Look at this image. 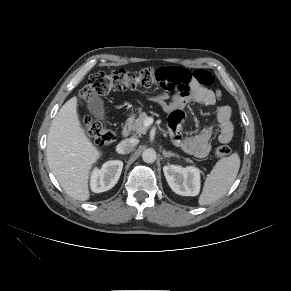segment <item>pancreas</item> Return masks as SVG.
Returning a JSON list of instances; mask_svg holds the SVG:
<instances>
[{"label": "pancreas", "instance_id": "obj_1", "mask_svg": "<svg viewBox=\"0 0 291 291\" xmlns=\"http://www.w3.org/2000/svg\"><path fill=\"white\" fill-rule=\"evenodd\" d=\"M148 118V115L145 112L139 114L138 118L133 121L131 125V129L135 131L137 134L141 135L146 133L147 127L144 125L145 120ZM187 162H191V160L186 159Z\"/></svg>", "mask_w": 291, "mask_h": 291}]
</instances>
